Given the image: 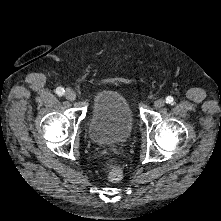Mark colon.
Returning a JSON list of instances; mask_svg holds the SVG:
<instances>
[{
	"mask_svg": "<svg viewBox=\"0 0 221 221\" xmlns=\"http://www.w3.org/2000/svg\"><path fill=\"white\" fill-rule=\"evenodd\" d=\"M106 169L108 172V178L112 182H119L123 178V170L120 165L109 162L106 165Z\"/></svg>",
	"mask_w": 221,
	"mask_h": 221,
	"instance_id": "colon-1",
	"label": "colon"
}]
</instances>
